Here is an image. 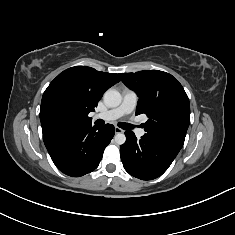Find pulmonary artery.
<instances>
[{
    "label": "pulmonary artery",
    "instance_id": "e3ab8cb5",
    "mask_svg": "<svg viewBox=\"0 0 235 235\" xmlns=\"http://www.w3.org/2000/svg\"><path fill=\"white\" fill-rule=\"evenodd\" d=\"M137 95L134 91L126 89L123 92V98L121 104L111 110L103 113H98L94 116L95 119H102L105 121L116 120L124 115L130 114L136 107ZM135 133L138 137L144 135V130L141 128H136Z\"/></svg>",
    "mask_w": 235,
    "mask_h": 235
}]
</instances>
